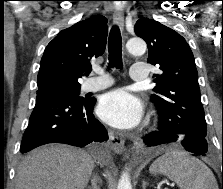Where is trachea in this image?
Returning a JSON list of instances; mask_svg holds the SVG:
<instances>
[{
	"label": "trachea",
	"mask_w": 223,
	"mask_h": 189,
	"mask_svg": "<svg viewBox=\"0 0 223 189\" xmlns=\"http://www.w3.org/2000/svg\"><path fill=\"white\" fill-rule=\"evenodd\" d=\"M108 52H109V68L116 67L122 70V38L120 30L117 26L113 27L110 31L108 40Z\"/></svg>",
	"instance_id": "3493384b"
}]
</instances>
